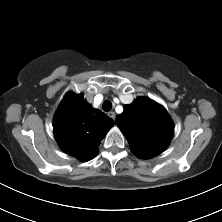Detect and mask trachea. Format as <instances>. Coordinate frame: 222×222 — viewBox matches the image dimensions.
<instances>
[{
    "label": "trachea",
    "mask_w": 222,
    "mask_h": 222,
    "mask_svg": "<svg viewBox=\"0 0 222 222\" xmlns=\"http://www.w3.org/2000/svg\"><path fill=\"white\" fill-rule=\"evenodd\" d=\"M102 108L106 112L110 111L112 109L111 101H109V100L104 101L103 104H102Z\"/></svg>",
    "instance_id": "trachea-1"
}]
</instances>
